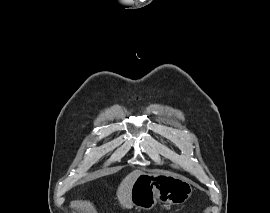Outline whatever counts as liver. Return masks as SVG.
Listing matches in <instances>:
<instances>
[{
  "label": "liver",
  "instance_id": "1",
  "mask_svg": "<svg viewBox=\"0 0 270 213\" xmlns=\"http://www.w3.org/2000/svg\"><path fill=\"white\" fill-rule=\"evenodd\" d=\"M143 174L140 170H134L128 174L120 183L117 189V198L124 209H131L133 206L131 199V190L135 180Z\"/></svg>",
  "mask_w": 270,
  "mask_h": 213
}]
</instances>
